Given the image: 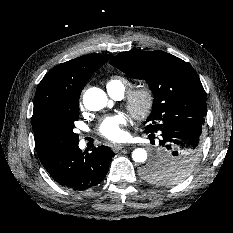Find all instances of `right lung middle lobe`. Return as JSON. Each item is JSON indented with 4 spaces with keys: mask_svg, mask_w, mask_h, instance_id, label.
<instances>
[{
    "mask_svg": "<svg viewBox=\"0 0 233 233\" xmlns=\"http://www.w3.org/2000/svg\"><path fill=\"white\" fill-rule=\"evenodd\" d=\"M78 118V104L50 110L40 116L33 130L38 153L63 150L78 144L79 136L73 132Z\"/></svg>",
    "mask_w": 233,
    "mask_h": 233,
    "instance_id": "obj_1",
    "label": "right lung middle lobe"
}]
</instances>
